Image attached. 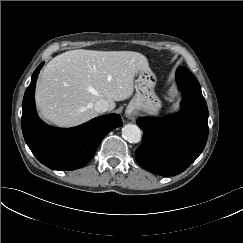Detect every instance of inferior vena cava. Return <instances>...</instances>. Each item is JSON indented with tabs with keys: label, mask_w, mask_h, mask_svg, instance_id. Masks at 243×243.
<instances>
[{
	"label": "inferior vena cava",
	"mask_w": 243,
	"mask_h": 243,
	"mask_svg": "<svg viewBox=\"0 0 243 243\" xmlns=\"http://www.w3.org/2000/svg\"><path fill=\"white\" fill-rule=\"evenodd\" d=\"M94 109L98 113L106 112L109 109V104L106 100L100 99L95 102Z\"/></svg>",
	"instance_id": "inferior-vena-cava-1"
}]
</instances>
